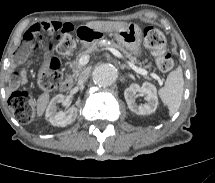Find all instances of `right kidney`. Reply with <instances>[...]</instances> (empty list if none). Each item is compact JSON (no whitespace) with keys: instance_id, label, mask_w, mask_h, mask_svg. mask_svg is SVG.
Segmentation results:
<instances>
[{"instance_id":"1","label":"right kidney","mask_w":215,"mask_h":183,"mask_svg":"<svg viewBox=\"0 0 215 183\" xmlns=\"http://www.w3.org/2000/svg\"><path fill=\"white\" fill-rule=\"evenodd\" d=\"M63 101L64 95L58 94L52 98L46 109V119L53 126L66 127L76 120L77 108L75 107H71L67 111H57V104Z\"/></svg>"}]
</instances>
